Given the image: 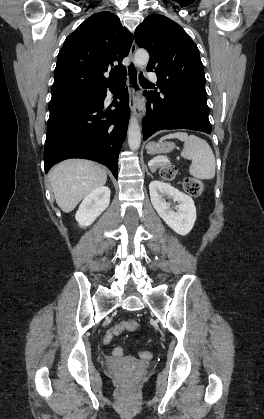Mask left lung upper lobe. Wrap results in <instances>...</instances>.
I'll use <instances>...</instances> for the list:
<instances>
[{
	"label": "left lung upper lobe",
	"mask_w": 264,
	"mask_h": 419,
	"mask_svg": "<svg viewBox=\"0 0 264 419\" xmlns=\"http://www.w3.org/2000/svg\"><path fill=\"white\" fill-rule=\"evenodd\" d=\"M135 40L149 52L147 70L157 74L163 87L183 84L190 90L205 86L199 50L176 22L163 15H150L136 28Z\"/></svg>",
	"instance_id": "1"
}]
</instances>
